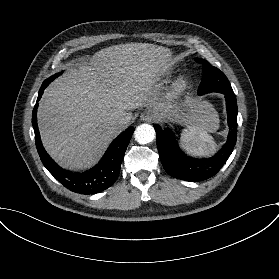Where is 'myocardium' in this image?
<instances>
[{"mask_svg":"<svg viewBox=\"0 0 279 279\" xmlns=\"http://www.w3.org/2000/svg\"><path fill=\"white\" fill-rule=\"evenodd\" d=\"M186 86V80H179L177 83H176V89L177 90H181L183 89L184 87Z\"/></svg>","mask_w":279,"mask_h":279,"instance_id":"1","label":"myocardium"}]
</instances>
